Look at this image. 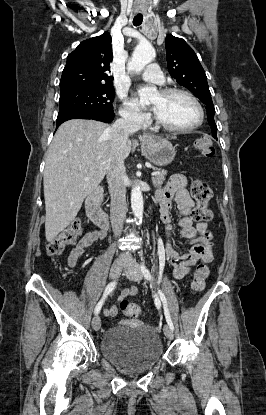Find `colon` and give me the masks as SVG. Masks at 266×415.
<instances>
[{"label":"colon","mask_w":266,"mask_h":415,"mask_svg":"<svg viewBox=\"0 0 266 415\" xmlns=\"http://www.w3.org/2000/svg\"><path fill=\"white\" fill-rule=\"evenodd\" d=\"M196 151L204 156L211 157L214 154V146L211 138L202 137L195 142ZM192 197L196 201V206L192 211V217L198 222H208L212 219V212L208 208V203L212 197V190L207 182L195 180L191 188ZM82 231V222L80 219H74L65 227L54 239L47 245V253L50 256H57L63 253L65 248L74 244ZM209 269L200 265L194 272L191 281V291L194 293L201 292L205 287V281L208 277ZM120 307L123 313L129 317H137L142 313L139 305L128 300H122Z\"/></svg>","instance_id":"5ec220e1"}]
</instances>
